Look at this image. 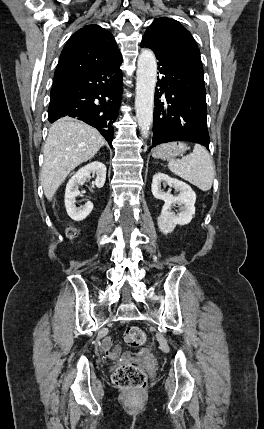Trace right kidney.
Returning <instances> with one entry per match:
<instances>
[{
    "label": "right kidney",
    "instance_id": "ca27d5eb",
    "mask_svg": "<svg viewBox=\"0 0 264 429\" xmlns=\"http://www.w3.org/2000/svg\"><path fill=\"white\" fill-rule=\"evenodd\" d=\"M106 166L98 161L87 164L80 168L74 176L68 181L65 190V207L67 214L74 221L84 220L93 210L92 202L88 201L83 207H76V198L80 195L78 190L79 185L91 178V174L96 175L95 185L97 188H102L106 180Z\"/></svg>",
    "mask_w": 264,
    "mask_h": 429
}]
</instances>
